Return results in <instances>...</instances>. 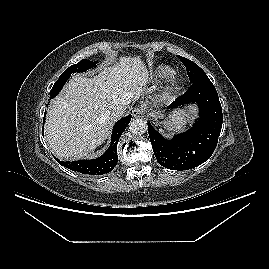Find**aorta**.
<instances>
[{
  "label": "aorta",
  "instance_id": "aorta-1",
  "mask_svg": "<svg viewBox=\"0 0 269 269\" xmlns=\"http://www.w3.org/2000/svg\"><path fill=\"white\" fill-rule=\"evenodd\" d=\"M129 130L132 134L142 135L147 131V122L143 119H133L129 124Z\"/></svg>",
  "mask_w": 269,
  "mask_h": 269
}]
</instances>
